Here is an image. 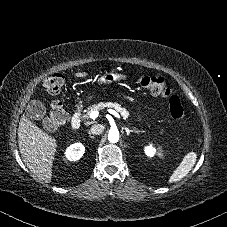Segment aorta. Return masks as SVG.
<instances>
[{"mask_svg": "<svg viewBox=\"0 0 227 227\" xmlns=\"http://www.w3.org/2000/svg\"><path fill=\"white\" fill-rule=\"evenodd\" d=\"M108 140L110 143H116L119 140V133L118 131H110L108 134Z\"/></svg>", "mask_w": 227, "mask_h": 227, "instance_id": "obj_1", "label": "aorta"}]
</instances>
